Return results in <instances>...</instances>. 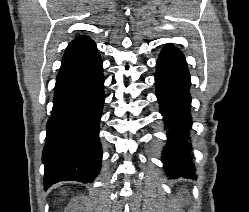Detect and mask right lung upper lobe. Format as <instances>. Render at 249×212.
Returning <instances> with one entry per match:
<instances>
[{
    "instance_id": "obj_1",
    "label": "right lung upper lobe",
    "mask_w": 249,
    "mask_h": 212,
    "mask_svg": "<svg viewBox=\"0 0 249 212\" xmlns=\"http://www.w3.org/2000/svg\"><path fill=\"white\" fill-rule=\"evenodd\" d=\"M98 55L96 45L87 36H79L67 47L60 71L78 66Z\"/></svg>"
}]
</instances>
